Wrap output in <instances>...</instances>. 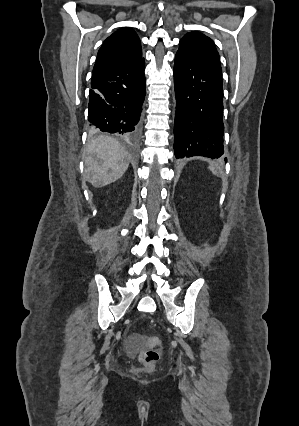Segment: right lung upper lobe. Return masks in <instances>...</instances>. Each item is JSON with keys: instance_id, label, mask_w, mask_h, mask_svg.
<instances>
[{"instance_id": "1", "label": "right lung upper lobe", "mask_w": 299, "mask_h": 426, "mask_svg": "<svg viewBox=\"0 0 299 426\" xmlns=\"http://www.w3.org/2000/svg\"><path fill=\"white\" fill-rule=\"evenodd\" d=\"M142 58L140 39L134 30L122 28L110 35L98 51L93 72L117 65L136 62Z\"/></svg>"}]
</instances>
